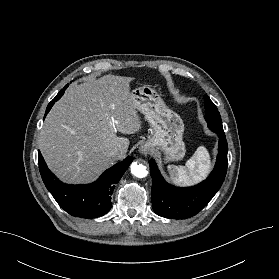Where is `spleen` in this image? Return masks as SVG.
Wrapping results in <instances>:
<instances>
[{
    "label": "spleen",
    "instance_id": "obj_1",
    "mask_svg": "<svg viewBox=\"0 0 279 279\" xmlns=\"http://www.w3.org/2000/svg\"><path fill=\"white\" fill-rule=\"evenodd\" d=\"M210 156L207 149L200 146L185 166L169 165L168 171L175 183L189 185L200 177H204L210 170Z\"/></svg>",
    "mask_w": 279,
    "mask_h": 279
}]
</instances>
